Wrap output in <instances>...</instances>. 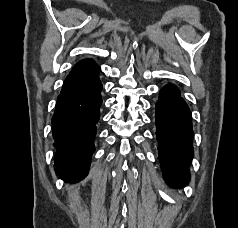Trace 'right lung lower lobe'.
Segmentation results:
<instances>
[{
    "label": "right lung lower lobe",
    "instance_id": "obj_1",
    "mask_svg": "<svg viewBox=\"0 0 238 228\" xmlns=\"http://www.w3.org/2000/svg\"><path fill=\"white\" fill-rule=\"evenodd\" d=\"M102 84L98 74L64 84L52 118L55 139V171L67 182H78L88 173L94 153L93 139L100 118Z\"/></svg>",
    "mask_w": 238,
    "mask_h": 228
}]
</instances>
